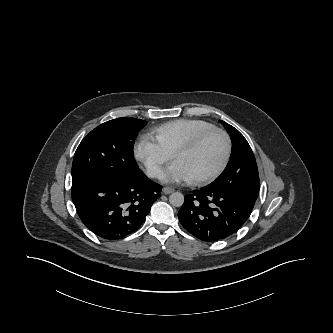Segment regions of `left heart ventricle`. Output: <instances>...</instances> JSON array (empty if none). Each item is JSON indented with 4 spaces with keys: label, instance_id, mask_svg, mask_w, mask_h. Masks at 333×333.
I'll use <instances>...</instances> for the list:
<instances>
[{
    "label": "left heart ventricle",
    "instance_id": "b2bd125f",
    "mask_svg": "<svg viewBox=\"0 0 333 333\" xmlns=\"http://www.w3.org/2000/svg\"><path fill=\"white\" fill-rule=\"evenodd\" d=\"M225 151L226 143L223 136L213 133L194 150L177 157L175 162L179 163L192 179L204 177L220 166Z\"/></svg>",
    "mask_w": 333,
    "mask_h": 333
}]
</instances>
